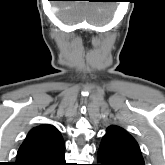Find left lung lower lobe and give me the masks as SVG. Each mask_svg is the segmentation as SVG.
Wrapping results in <instances>:
<instances>
[{"instance_id":"obj_1","label":"left lung lower lobe","mask_w":165,"mask_h":165,"mask_svg":"<svg viewBox=\"0 0 165 165\" xmlns=\"http://www.w3.org/2000/svg\"><path fill=\"white\" fill-rule=\"evenodd\" d=\"M98 160L100 162V164L98 165H112L111 163H108L106 158L99 152H98Z\"/></svg>"}]
</instances>
